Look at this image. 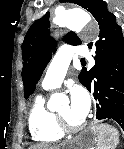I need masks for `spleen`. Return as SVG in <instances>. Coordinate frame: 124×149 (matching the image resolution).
Instances as JSON below:
<instances>
[{
	"instance_id": "spleen-1",
	"label": "spleen",
	"mask_w": 124,
	"mask_h": 149,
	"mask_svg": "<svg viewBox=\"0 0 124 149\" xmlns=\"http://www.w3.org/2000/svg\"><path fill=\"white\" fill-rule=\"evenodd\" d=\"M97 131V149H115L119 142L118 131L107 124L94 127Z\"/></svg>"
}]
</instances>
